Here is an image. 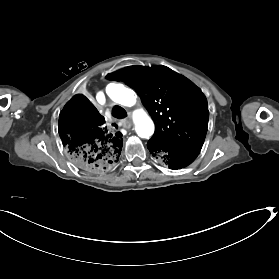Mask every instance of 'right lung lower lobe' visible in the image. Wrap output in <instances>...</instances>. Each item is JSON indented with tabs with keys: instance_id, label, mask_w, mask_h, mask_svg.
Instances as JSON below:
<instances>
[{
	"instance_id": "98d812e1",
	"label": "right lung lower lobe",
	"mask_w": 279,
	"mask_h": 279,
	"mask_svg": "<svg viewBox=\"0 0 279 279\" xmlns=\"http://www.w3.org/2000/svg\"><path fill=\"white\" fill-rule=\"evenodd\" d=\"M105 119L83 95L73 96L59 115L58 130L73 163L91 173L110 171L118 162L123 139L118 126Z\"/></svg>"
}]
</instances>
